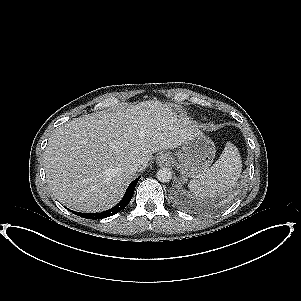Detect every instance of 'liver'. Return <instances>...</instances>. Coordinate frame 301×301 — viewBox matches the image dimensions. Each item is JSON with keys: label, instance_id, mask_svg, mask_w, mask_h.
<instances>
[{"label": "liver", "instance_id": "liver-1", "mask_svg": "<svg viewBox=\"0 0 301 301\" xmlns=\"http://www.w3.org/2000/svg\"><path fill=\"white\" fill-rule=\"evenodd\" d=\"M190 133L171 109L150 102L75 118L48 140L43 155L48 186L70 209L105 211L132 181L131 164L147 166L153 153L178 148Z\"/></svg>", "mask_w": 301, "mask_h": 301}]
</instances>
